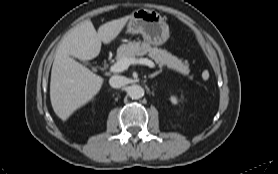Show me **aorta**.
Here are the masks:
<instances>
[{
    "label": "aorta",
    "mask_w": 278,
    "mask_h": 174,
    "mask_svg": "<svg viewBox=\"0 0 278 174\" xmlns=\"http://www.w3.org/2000/svg\"><path fill=\"white\" fill-rule=\"evenodd\" d=\"M127 93L132 99H139L144 95V90L141 86L133 84L128 87Z\"/></svg>",
    "instance_id": "aorta-1"
}]
</instances>
